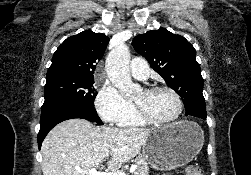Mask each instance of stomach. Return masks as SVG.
<instances>
[{
    "instance_id": "1",
    "label": "stomach",
    "mask_w": 251,
    "mask_h": 175,
    "mask_svg": "<svg viewBox=\"0 0 251 175\" xmlns=\"http://www.w3.org/2000/svg\"><path fill=\"white\" fill-rule=\"evenodd\" d=\"M204 145V131L196 121L181 119L165 127L150 129L142 157L151 167L169 171L192 161Z\"/></svg>"
}]
</instances>
